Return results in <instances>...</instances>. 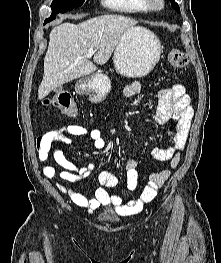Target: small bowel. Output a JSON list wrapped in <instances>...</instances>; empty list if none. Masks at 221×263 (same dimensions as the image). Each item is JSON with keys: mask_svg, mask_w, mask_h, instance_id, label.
<instances>
[{"mask_svg": "<svg viewBox=\"0 0 221 263\" xmlns=\"http://www.w3.org/2000/svg\"><path fill=\"white\" fill-rule=\"evenodd\" d=\"M141 84L137 81L128 84L124 89V95L133 97L140 93ZM193 110L190 105V98L182 84H174L171 87L162 88L159 91V103L156 111V119L165 123L171 121L168 134L171 138L170 146L167 149L155 148L152 156L158 160H168L169 168L159 173H150L149 183L143 190L140 197L124 201L119 195L109 193L106 188L116 187L118 179L108 171H101L98 176L100 187L96 189L93 198H87L75 189L68 187L65 182H74L78 179L89 177L94 165L88 164L78 166L69 161L62 150L52 149L53 145H69L72 138L77 136H88L96 149L105 147V140L99 129H87L80 125H68L59 129L48 131L39 140V159L45 162L43 172L51 180H56V186L62 193H67L71 201L79 206L86 208L93 213L101 207H109L120 216H129L142 210L144 204L151 202L165 181L169 178L172 169L179 161L181 153L185 147ZM117 133V129H111L110 134ZM50 155L54 161L64 168L57 172L56 169L46 163ZM127 187L133 191L136 189L140 171L138 163L134 158H129L126 162Z\"/></svg>", "mask_w": 221, "mask_h": 263, "instance_id": "obj_1", "label": "small bowel"}]
</instances>
